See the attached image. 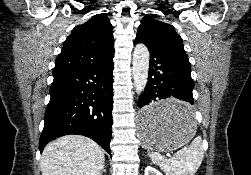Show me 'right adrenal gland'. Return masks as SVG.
I'll return each mask as SVG.
<instances>
[{"instance_id":"2a0ac1e0","label":"right adrenal gland","mask_w":251,"mask_h":175,"mask_svg":"<svg viewBox=\"0 0 251 175\" xmlns=\"http://www.w3.org/2000/svg\"><path fill=\"white\" fill-rule=\"evenodd\" d=\"M103 171H106V167H104Z\"/></svg>"}]
</instances>
